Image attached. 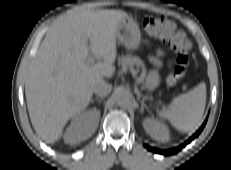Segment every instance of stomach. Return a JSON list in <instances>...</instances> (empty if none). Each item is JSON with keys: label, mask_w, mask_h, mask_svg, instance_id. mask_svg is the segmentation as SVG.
I'll return each mask as SVG.
<instances>
[{"label": "stomach", "mask_w": 231, "mask_h": 170, "mask_svg": "<svg viewBox=\"0 0 231 170\" xmlns=\"http://www.w3.org/2000/svg\"><path fill=\"white\" fill-rule=\"evenodd\" d=\"M117 38L128 50H137L140 48L141 33L137 23L131 18L122 19L117 27ZM158 82V74L151 71L145 79L144 86L151 90Z\"/></svg>", "instance_id": "obj_1"}]
</instances>
